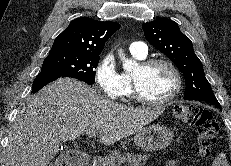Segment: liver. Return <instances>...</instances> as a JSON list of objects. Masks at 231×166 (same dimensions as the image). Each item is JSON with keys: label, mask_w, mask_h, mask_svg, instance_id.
<instances>
[{"label": "liver", "mask_w": 231, "mask_h": 166, "mask_svg": "<svg viewBox=\"0 0 231 166\" xmlns=\"http://www.w3.org/2000/svg\"><path fill=\"white\" fill-rule=\"evenodd\" d=\"M164 107H132L104 98L92 87L59 78L33 95L18 113L9 132L5 166H47L59 143L99 132V141L113 145L135 134Z\"/></svg>", "instance_id": "liver-1"}]
</instances>
